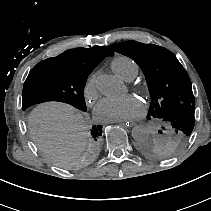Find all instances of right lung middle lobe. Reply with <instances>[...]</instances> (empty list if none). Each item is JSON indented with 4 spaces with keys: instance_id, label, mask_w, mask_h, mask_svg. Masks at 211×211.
Masks as SVG:
<instances>
[{
    "instance_id": "dd1d6c3e",
    "label": "right lung middle lobe",
    "mask_w": 211,
    "mask_h": 211,
    "mask_svg": "<svg viewBox=\"0 0 211 211\" xmlns=\"http://www.w3.org/2000/svg\"><path fill=\"white\" fill-rule=\"evenodd\" d=\"M96 66L48 58L30 71L23 87L22 109L46 101L68 103L86 111L83 95L89 74ZM92 137L102 135V126H93Z\"/></svg>"
}]
</instances>
